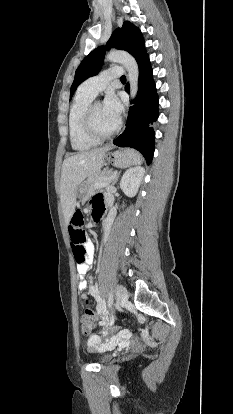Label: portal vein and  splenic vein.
<instances>
[{
  "label": "portal vein and splenic vein",
  "mask_w": 233,
  "mask_h": 414,
  "mask_svg": "<svg viewBox=\"0 0 233 414\" xmlns=\"http://www.w3.org/2000/svg\"><path fill=\"white\" fill-rule=\"evenodd\" d=\"M111 181H112V177H111L110 179H107V182H105V183H103V184L97 183V184L95 185V187H96V188H99V187H101V186H107V185H109V184L111 183Z\"/></svg>",
  "instance_id": "portal-vein-and-splenic-vein-1"
}]
</instances>
